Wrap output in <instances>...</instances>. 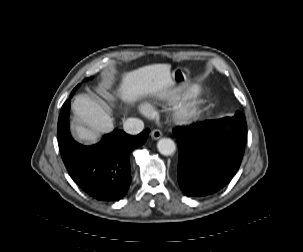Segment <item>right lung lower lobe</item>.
<instances>
[{"mask_svg": "<svg viewBox=\"0 0 303 252\" xmlns=\"http://www.w3.org/2000/svg\"><path fill=\"white\" fill-rule=\"evenodd\" d=\"M69 114L70 99L62 106L57 128L59 150L69 175L95 199H121L131 183L129 155L146 142L150 130L130 136L115 129L98 144L83 146L71 137Z\"/></svg>", "mask_w": 303, "mask_h": 252, "instance_id": "right-lung-lower-lobe-1", "label": "right lung lower lobe"}]
</instances>
